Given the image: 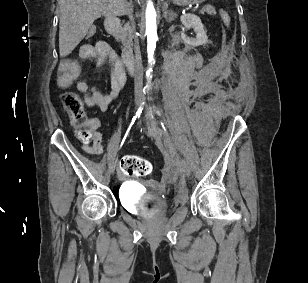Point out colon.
<instances>
[{"label": "colon", "instance_id": "5ec220e1", "mask_svg": "<svg viewBox=\"0 0 308 283\" xmlns=\"http://www.w3.org/2000/svg\"><path fill=\"white\" fill-rule=\"evenodd\" d=\"M221 18L228 26L230 23L229 14L221 11ZM96 32L95 27H91L87 32V37H92ZM61 102L64 109L70 116L71 123L75 128L76 137L81 141H89L93 138L94 130L86 116L81 98L75 92L67 91L61 94ZM121 170L128 176H146L151 173V163L136 155H127L121 160Z\"/></svg>", "mask_w": 308, "mask_h": 283}]
</instances>
